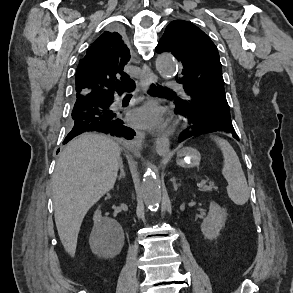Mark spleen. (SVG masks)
I'll list each match as a JSON object with an SVG mask.
<instances>
[{
    "mask_svg": "<svg viewBox=\"0 0 293 293\" xmlns=\"http://www.w3.org/2000/svg\"><path fill=\"white\" fill-rule=\"evenodd\" d=\"M212 137L223 154L222 174L228 182V196L235 204L243 205L248 201L250 192L239 158L228 141L217 136Z\"/></svg>",
    "mask_w": 293,
    "mask_h": 293,
    "instance_id": "3e777b00",
    "label": "spleen"
}]
</instances>
